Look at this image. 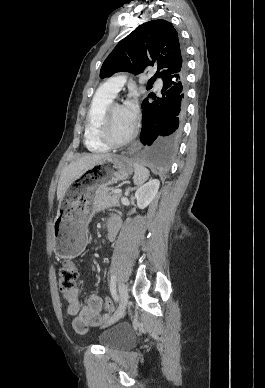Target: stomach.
<instances>
[{
    "label": "stomach",
    "mask_w": 265,
    "mask_h": 388,
    "mask_svg": "<svg viewBox=\"0 0 265 388\" xmlns=\"http://www.w3.org/2000/svg\"><path fill=\"white\" fill-rule=\"evenodd\" d=\"M134 165L122 155H111L91 165L70 183L59 201L53 223L54 252L60 258H75L84 250L87 242V225L96 210L94 198L102 187L125 180L133 172Z\"/></svg>",
    "instance_id": "0dacf381"
}]
</instances>
